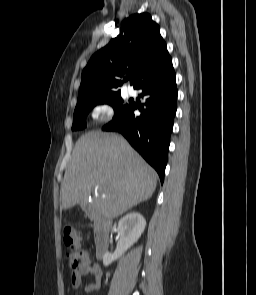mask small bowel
I'll return each instance as SVG.
<instances>
[{"instance_id": "c3829d8e", "label": "small bowel", "mask_w": 256, "mask_h": 295, "mask_svg": "<svg viewBox=\"0 0 256 295\" xmlns=\"http://www.w3.org/2000/svg\"><path fill=\"white\" fill-rule=\"evenodd\" d=\"M91 275L93 280L85 286V292H96L101 288V281L103 277V271L99 264L91 263L88 261L80 268L72 271L70 282L74 290H78L82 285V277Z\"/></svg>"}]
</instances>
